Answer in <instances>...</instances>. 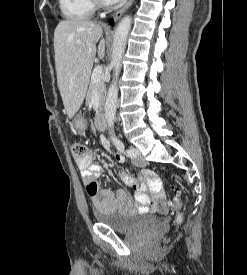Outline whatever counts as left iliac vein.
Returning <instances> with one entry per match:
<instances>
[{
    "label": "left iliac vein",
    "mask_w": 247,
    "mask_h": 275,
    "mask_svg": "<svg viewBox=\"0 0 247 275\" xmlns=\"http://www.w3.org/2000/svg\"><path fill=\"white\" fill-rule=\"evenodd\" d=\"M131 149H133L134 152L136 153V157H134V159H133L134 165L139 166V167H144V166H146L147 163H146V161L141 157L139 149H138V148H135V147H131Z\"/></svg>",
    "instance_id": "obj_1"
}]
</instances>
